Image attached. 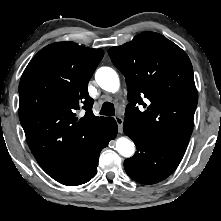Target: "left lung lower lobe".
Segmentation results:
<instances>
[{
    "mask_svg": "<svg viewBox=\"0 0 221 221\" xmlns=\"http://www.w3.org/2000/svg\"><path fill=\"white\" fill-rule=\"evenodd\" d=\"M123 130L137 148L135 155L125 160L124 168L137 182L154 184L164 180L175 171L186 151V147L152 137L135 122L125 120Z\"/></svg>",
    "mask_w": 221,
    "mask_h": 221,
    "instance_id": "obj_1",
    "label": "left lung lower lobe"
}]
</instances>
